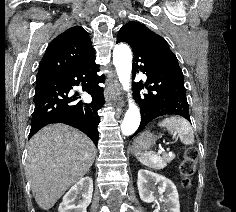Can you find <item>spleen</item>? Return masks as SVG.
I'll list each match as a JSON object with an SVG mask.
<instances>
[{
    "instance_id": "obj_1",
    "label": "spleen",
    "mask_w": 236,
    "mask_h": 212,
    "mask_svg": "<svg viewBox=\"0 0 236 212\" xmlns=\"http://www.w3.org/2000/svg\"><path fill=\"white\" fill-rule=\"evenodd\" d=\"M158 125L166 128L171 134L177 135L183 144L190 145L194 143L193 128L185 118L179 116L167 117ZM136 157L143 165L154 169H162L166 166L160 156L151 152L137 153Z\"/></svg>"
}]
</instances>
